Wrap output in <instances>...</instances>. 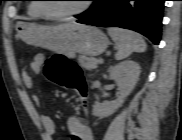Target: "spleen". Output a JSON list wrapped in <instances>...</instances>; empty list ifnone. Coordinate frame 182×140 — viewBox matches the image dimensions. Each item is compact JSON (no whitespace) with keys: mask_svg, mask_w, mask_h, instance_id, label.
Instances as JSON below:
<instances>
[{"mask_svg":"<svg viewBox=\"0 0 182 140\" xmlns=\"http://www.w3.org/2000/svg\"><path fill=\"white\" fill-rule=\"evenodd\" d=\"M107 31L117 45L116 60H123L132 52L141 53L146 50V43L138 33L120 28H109Z\"/></svg>","mask_w":182,"mask_h":140,"instance_id":"spleen-1","label":"spleen"}]
</instances>
